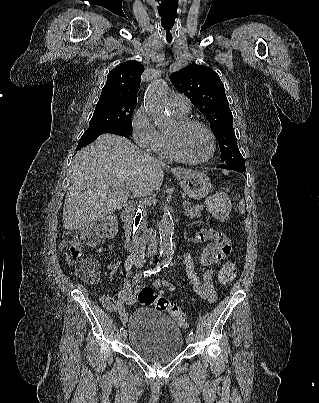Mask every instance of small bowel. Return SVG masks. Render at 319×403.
<instances>
[{"instance_id": "obj_1", "label": "small bowel", "mask_w": 319, "mask_h": 403, "mask_svg": "<svg viewBox=\"0 0 319 403\" xmlns=\"http://www.w3.org/2000/svg\"><path fill=\"white\" fill-rule=\"evenodd\" d=\"M219 236L217 237V235ZM192 243H203L210 241L205 247L200 263L205 268L202 278L200 279L195 271L194 262L188 253L182 255L186 271L190 282L193 285L195 293L208 303H214L217 299V293L214 288V274L211 266L225 259L231 252V243L229 239L222 233L215 230H203L193 237L188 238ZM145 255H131L125 262L124 267L126 275L123 280L122 288L119 292V299L116 302L104 300L105 307L116 313L122 323H126L129 317L127 306L135 303L136 298L132 291L133 279L132 269L142 265ZM156 288H166L173 291L175 288L172 284L165 280H155L151 283ZM140 287L137 286L135 292H138Z\"/></svg>"}]
</instances>
